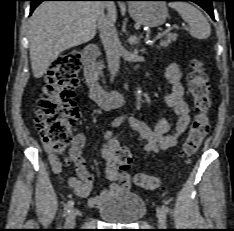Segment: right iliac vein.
<instances>
[{"instance_id":"1","label":"right iliac vein","mask_w":234,"mask_h":231,"mask_svg":"<svg viewBox=\"0 0 234 231\" xmlns=\"http://www.w3.org/2000/svg\"><path fill=\"white\" fill-rule=\"evenodd\" d=\"M76 209H71L68 214H67V218H66V222H65V227L66 228H73L75 226V221H76Z\"/></svg>"}]
</instances>
